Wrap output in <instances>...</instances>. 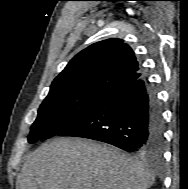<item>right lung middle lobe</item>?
<instances>
[{
    "instance_id": "dd1d6c3e",
    "label": "right lung middle lobe",
    "mask_w": 188,
    "mask_h": 189,
    "mask_svg": "<svg viewBox=\"0 0 188 189\" xmlns=\"http://www.w3.org/2000/svg\"><path fill=\"white\" fill-rule=\"evenodd\" d=\"M110 92L105 89H90L48 95L31 126L29 143L49 139L73 126Z\"/></svg>"
}]
</instances>
